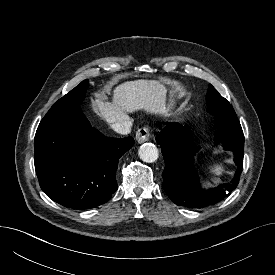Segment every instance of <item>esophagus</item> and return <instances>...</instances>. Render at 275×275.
<instances>
[{"label": "esophagus", "mask_w": 275, "mask_h": 275, "mask_svg": "<svg viewBox=\"0 0 275 275\" xmlns=\"http://www.w3.org/2000/svg\"><path fill=\"white\" fill-rule=\"evenodd\" d=\"M149 139V132L146 128H140L137 130L136 132V141L138 143H143V142H146L148 141Z\"/></svg>", "instance_id": "1"}]
</instances>
